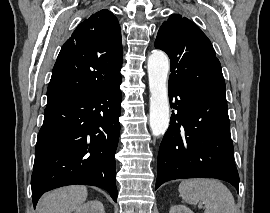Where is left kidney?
<instances>
[{
	"instance_id": "obj_1",
	"label": "left kidney",
	"mask_w": 270,
	"mask_h": 213,
	"mask_svg": "<svg viewBox=\"0 0 270 213\" xmlns=\"http://www.w3.org/2000/svg\"><path fill=\"white\" fill-rule=\"evenodd\" d=\"M169 213H193L188 207L178 204L170 208Z\"/></svg>"
}]
</instances>
